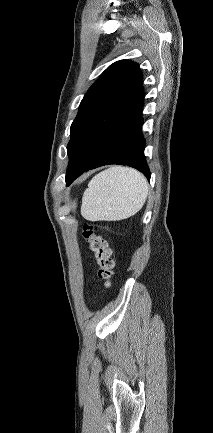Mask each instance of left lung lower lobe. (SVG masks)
Wrapping results in <instances>:
<instances>
[{
	"label": "left lung lower lobe",
	"mask_w": 213,
	"mask_h": 433,
	"mask_svg": "<svg viewBox=\"0 0 213 433\" xmlns=\"http://www.w3.org/2000/svg\"><path fill=\"white\" fill-rule=\"evenodd\" d=\"M143 92L115 124L103 145L88 164L72 176L70 185L83 172L108 164L128 165L142 172L150 180V170L144 156L142 136Z\"/></svg>",
	"instance_id": "obj_1"
}]
</instances>
